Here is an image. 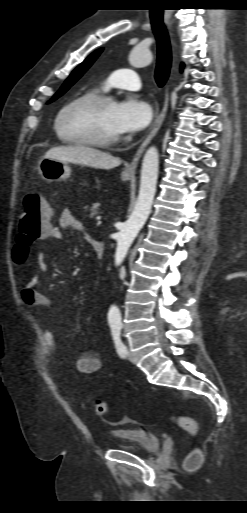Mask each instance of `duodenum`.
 Returning <instances> with one entry per match:
<instances>
[{"mask_svg": "<svg viewBox=\"0 0 247 513\" xmlns=\"http://www.w3.org/2000/svg\"><path fill=\"white\" fill-rule=\"evenodd\" d=\"M89 241L93 246V249H94L97 259L101 260L104 256V251H105L104 244L100 240L93 238V237H89Z\"/></svg>", "mask_w": 247, "mask_h": 513, "instance_id": "duodenum-1", "label": "duodenum"}]
</instances>
